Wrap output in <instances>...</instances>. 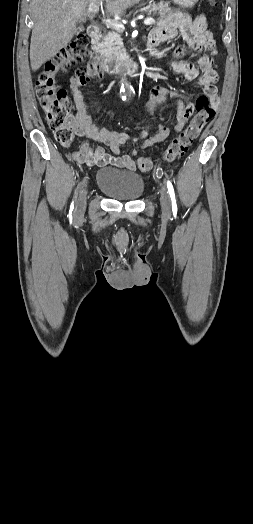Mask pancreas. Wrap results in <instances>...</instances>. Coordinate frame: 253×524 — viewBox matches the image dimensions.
<instances>
[{
	"label": "pancreas",
	"mask_w": 253,
	"mask_h": 524,
	"mask_svg": "<svg viewBox=\"0 0 253 524\" xmlns=\"http://www.w3.org/2000/svg\"><path fill=\"white\" fill-rule=\"evenodd\" d=\"M141 10L148 15L159 14L162 19H168L175 15V11L171 9L169 3L164 1L158 3L153 2ZM121 33V30L109 32L101 41L93 45L94 51L105 59H114L118 51L123 53V45L120 38Z\"/></svg>",
	"instance_id": "1"
}]
</instances>
